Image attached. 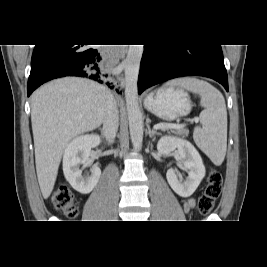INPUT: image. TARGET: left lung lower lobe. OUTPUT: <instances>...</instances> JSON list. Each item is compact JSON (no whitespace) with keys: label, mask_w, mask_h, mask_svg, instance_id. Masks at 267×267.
I'll return each instance as SVG.
<instances>
[{"label":"left lung lower lobe","mask_w":267,"mask_h":267,"mask_svg":"<svg viewBox=\"0 0 267 267\" xmlns=\"http://www.w3.org/2000/svg\"><path fill=\"white\" fill-rule=\"evenodd\" d=\"M192 75L212 78L228 91L227 72L220 45H145L138 79V93L169 79Z\"/></svg>","instance_id":"1"}]
</instances>
